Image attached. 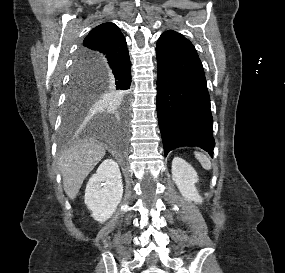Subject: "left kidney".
<instances>
[{"instance_id":"obj_1","label":"left kidney","mask_w":285,"mask_h":273,"mask_svg":"<svg viewBox=\"0 0 285 273\" xmlns=\"http://www.w3.org/2000/svg\"><path fill=\"white\" fill-rule=\"evenodd\" d=\"M172 179L186 200L202 203V198L195 187V183L198 182L197 173L182 158L175 157L172 161Z\"/></svg>"}]
</instances>
